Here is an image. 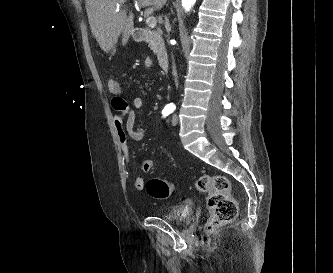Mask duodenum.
Wrapping results in <instances>:
<instances>
[{
    "instance_id": "obj_1",
    "label": "duodenum",
    "mask_w": 333,
    "mask_h": 273,
    "mask_svg": "<svg viewBox=\"0 0 333 273\" xmlns=\"http://www.w3.org/2000/svg\"><path fill=\"white\" fill-rule=\"evenodd\" d=\"M136 40L153 44L160 67L166 71L169 68V55L163 42L162 33L158 30L136 27L133 29Z\"/></svg>"
}]
</instances>
